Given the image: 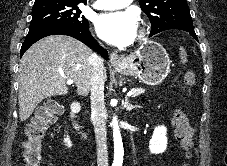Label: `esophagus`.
Masks as SVG:
<instances>
[{
	"label": "esophagus",
	"instance_id": "34e87169",
	"mask_svg": "<svg viewBox=\"0 0 227 166\" xmlns=\"http://www.w3.org/2000/svg\"><path fill=\"white\" fill-rule=\"evenodd\" d=\"M122 62V58L118 55V53L115 51V52H112L110 54V63L113 64V65H117V64H120Z\"/></svg>",
	"mask_w": 227,
	"mask_h": 166
}]
</instances>
